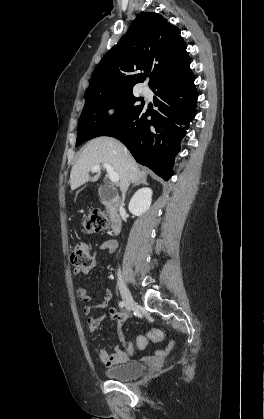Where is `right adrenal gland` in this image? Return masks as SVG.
I'll return each mask as SVG.
<instances>
[{
    "instance_id": "2a0ac1e0",
    "label": "right adrenal gland",
    "mask_w": 264,
    "mask_h": 419,
    "mask_svg": "<svg viewBox=\"0 0 264 419\" xmlns=\"http://www.w3.org/2000/svg\"><path fill=\"white\" fill-rule=\"evenodd\" d=\"M140 184H143V185H148V183H147L146 179H145V178H143V179H141L140 181H138L137 183H135V184L132 186V188H133V187H135V186H137V185H140Z\"/></svg>"
}]
</instances>
